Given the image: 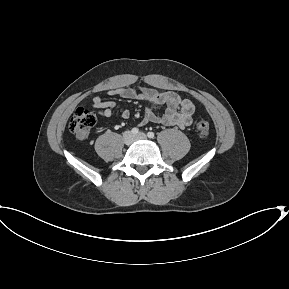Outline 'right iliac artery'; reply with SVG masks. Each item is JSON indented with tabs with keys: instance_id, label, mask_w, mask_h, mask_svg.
Returning <instances> with one entry per match:
<instances>
[{
	"instance_id": "right-iliac-artery-1",
	"label": "right iliac artery",
	"mask_w": 289,
	"mask_h": 289,
	"mask_svg": "<svg viewBox=\"0 0 289 289\" xmlns=\"http://www.w3.org/2000/svg\"><path fill=\"white\" fill-rule=\"evenodd\" d=\"M131 132H132V134L136 135L139 133V129L135 127L131 130Z\"/></svg>"
}]
</instances>
